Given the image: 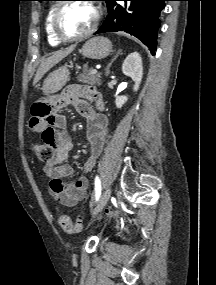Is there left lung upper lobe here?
<instances>
[{"instance_id":"left-lung-upper-lobe-1","label":"left lung upper lobe","mask_w":216,"mask_h":285,"mask_svg":"<svg viewBox=\"0 0 216 285\" xmlns=\"http://www.w3.org/2000/svg\"><path fill=\"white\" fill-rule=\"evenodd\" d=\"M39 1H45V0H39ZM102 1H105L106 3H108V2H109V0H102Z\"/></svg>"}]
</instances>
